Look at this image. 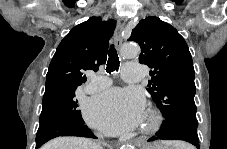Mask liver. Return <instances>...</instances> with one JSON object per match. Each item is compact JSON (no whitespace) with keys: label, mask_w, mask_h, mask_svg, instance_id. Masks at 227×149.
<instances>
[{"label":"liver","mask_w":227,"mask_h":149,"mask_svg":"<svg viewBox=\"0 0 227 149\" xmlns=\"http://www.w3.org/2000/svg\"><path fill=\"white\" fill-rule=\"evenodd\" d=\"M41 149H102V147L86 138L58 137L43 145Z\"/></svg>","instance_id":"obj_1"}]
</instances>
